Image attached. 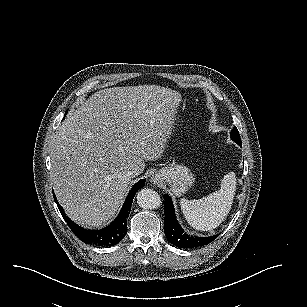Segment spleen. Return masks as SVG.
I'll use <instances>...</instances> for the list:
<instances>
[{
	"mask_svg": "<svg viewBox=\"0 0 307 307\" xmlns=\"http://www.w3.org/2000/svg\"><path fill=\"white\" fill-rule=\"evenodd\" d=\"M237 176L230 171L224 175L221 188L200 200H180L187 223L196 231H213L222 225L231 211L236 195Z\"/></svg>",
	"mask_w": 307,
	"mask_h": 307,
	"instance_id": "obj_1",
	"label": "spleen"
}]
</instances>
